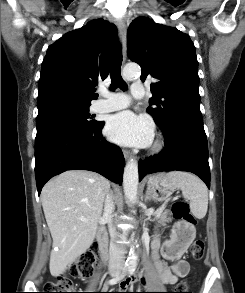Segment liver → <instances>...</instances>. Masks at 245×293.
I'll use <instances>...</instances> for the list:
<instances>
[{"mask_svg":"<svg viewBox=\"0 0 245 293\" xmlns=\"http://www.w3.org/2000/svg\"><path fill=\"white\" fill-rule=\"evenodd\" d=\"M110 182L86 170L66 171L42 189L41 202L53 247L52 276L63 274L93 243Z\"/></svg>","mask_w":245,"mask_h":293,"instance_id":"1","label":"liver"}]
</instances>
